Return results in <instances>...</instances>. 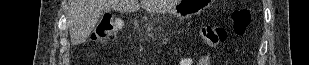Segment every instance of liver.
<instances>
[{"label":"liver","instance_id":"6515ba94","mask_svg":"<svg viewBox=\"0 0 309 65\" xmlns=\"http://www.w3.org/2000/svg\"><path fill=\"white\" fill-rule=\"evenodd\" d=\"M172 0H71L68 8V25L72 45L84 43L103 12H136L142 7L150 13H161L174 7Z\"/></svg>","mask_w":309,"mask_h":65}]
</instances>
